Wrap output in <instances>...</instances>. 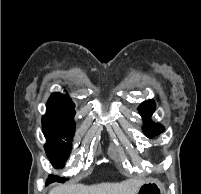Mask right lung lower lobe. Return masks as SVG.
<instances>
[{
  "label": "right lung lower lobe",
  "instance_id": "obj_1",
  "mask_svg": "<svg viewBox=\"0 0 201 194\" xmlns=\"http://www.w3.org/2000/svg\"><path fill=\"white\" fill-rule=\"evenodd\" d=\"M50 183V181L49 180H47V183H46V185H48Z\"/></svg>",
  "mask_w": 201,
  "mask_h": 194
}]
</instances>
